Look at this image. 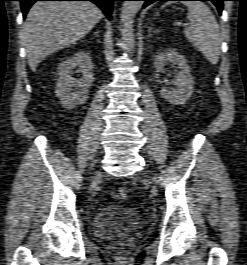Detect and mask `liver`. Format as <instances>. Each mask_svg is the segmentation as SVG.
Listing matches in <instances>:
<instances>
[{
	"mask_svg": "<svg viewBox=\"0 0 247 265\" xmlns=\"http://www.w3.org/2000/svg\"><path fill=\"white\" fill-rule=\"evenodd\" d=\"M101 10L84 1H40L23 24L28 64L35 71L50 54L82 39L102 19Z\"/></svg>",
	"mask_w": 247,
	"mask_h": 265,
	"instance_id": "obj_1",
	"label": "liver"
}]
</instances>
